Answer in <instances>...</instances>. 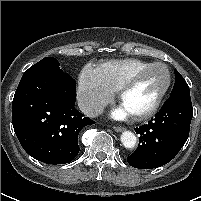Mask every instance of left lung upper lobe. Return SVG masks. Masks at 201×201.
Segmentation results:
<instances>
[{"label": "left lung upper lobe", "mask_w": 201, "mask_h": 201, "mask_svg": "<svg viewBox=\"0 0 201 201\" xmlns=\"http://www.w3.org/2000/svg\"><path fill=\"white\" fill-rule=\"evenodd\" d=\"M182 91H190L189 86L181 74L175 70V83L171 94H175Z\"/></svg>", "instance_id": "5c2ea615"}]
</instances>
